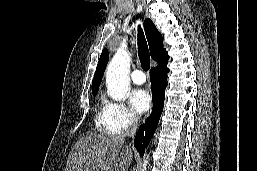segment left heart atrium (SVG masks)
Returning a JSON list of instances; mask_svg holds the SVG:
<instances>
[{
	"mask_svg": "<svg viewBox=\"0 0 257 171\" xmlns=\"http://www.w3.org/2000/svg\"><path fill=\"white\" fill-rule=\"evenodd\" d=\"M130 104L136 113L146 112L151 104V98L147 91L136 89L129 95Z\"/></svg>",
	"mask_w": 257,
	"mask_h": 171,
	"instance_id": "39dd6f15",
	"label": "left heart atrium"
}]
</instances>
